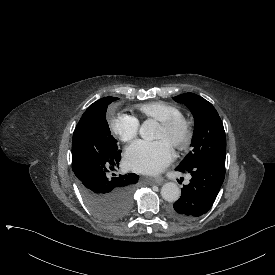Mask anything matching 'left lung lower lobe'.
I'll list each match as a JSON object with an SVG mask.
<instances>
[{"label": "left lung lower lobe", "instance_id": "0a47b994", "mask_svg": "<svg viewBox=\"0 0 275 275\" xmlns=\"http://www.w3.org/2000/svg\"><path fill=\"white\" fill-rule=\"evenodd\" d=\"M176 171L190 173L192 178L184 185L181 197L169 206L168 214L180 221L192 220L205 214L213 205L225 176V162L207 160Z\"/></svg>", "mask_w": 275, "mask_h": 275}]
</instances>
